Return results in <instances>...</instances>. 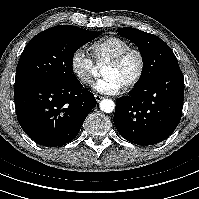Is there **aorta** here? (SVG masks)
Instances as JSON below:
<instances>
[{"label": "aorta", "instance_id": "1", "mask_svg": "<svg viewBox=\"0 0 199 199\" xmlns=\"http://www.w3.org/2000/svg\"><path fill=\"white\" fill-rule=\"evenodd\" d=\"M100 109L105 113H111L115 109V104L111 99H103L100 102Z\"/></svg>", "mask_w": 199, "mask_h": 199}]
</instances>
